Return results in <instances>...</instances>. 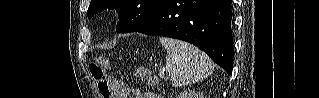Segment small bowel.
I'll use <instances>...</instances> for the list:
<instances>
[{
	"mask_svg": "<svg viewBox=\"0 0 319 98\" xmlns=\"http://www.w3.org/2000/svg\"><path fill=\"white\" fill-rule=\"evenodd\" d=\"M110 82L113 88V98H128L131 93H135L136 98H159L150 92L142 93L121 80H114L111 78Z\"/></svg>",
	"mask_w": 319,
	"mask_h": 98,
	"instance_id": "obj_1",
	"label": "small bowel"
}]
</instances>
